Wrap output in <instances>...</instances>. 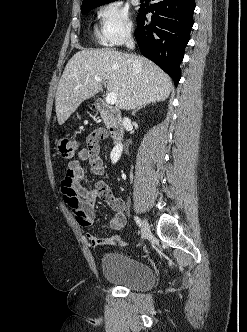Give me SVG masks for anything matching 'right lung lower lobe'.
<instances>
[{"instance_id": "right-lung-lower-lobe-1", "label": "right lung lower lobe", "mask_w": 247, "mask_h": 332, "mask_svg": "<svg viewBox=\"0 0 247 332\" xmlns=\"http://www.w3.org/2000/svg\"><path fill=\"white\" fill-rule=\"evenodd\" d=\"M150 9H139L134 36L142 54L162 68L177 86L179 65L193 26L195 0H156ZM152 21L146 23V14Z\"/></svg>"}]
</instances>
